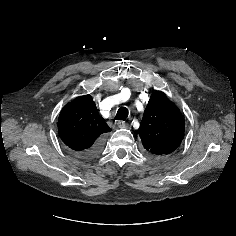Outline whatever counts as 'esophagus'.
Instances as JSON below:
<instances>
[{
	"mask_svg": "<svg viewBox=\"0 0 236 236\" xmlns=\"http://www.w3.org/2000/svg\"><path fill=\"white\" fill-rule=\"evenodd\" d=\"M117 126L119 128H126L127 127V123L125 121H118L117 122Z\"/></svg>",
	"mask_w": 236,
	"mask_h": 236,
	"instance_id": "1",
	"label": "esophagus"
}]
</instances>
